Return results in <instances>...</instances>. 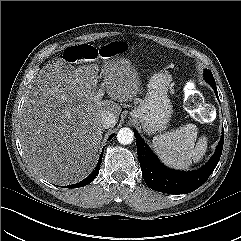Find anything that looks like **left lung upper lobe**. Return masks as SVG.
<instances>
[{
  "label": "left lung upper lobe",
  "instance_id": "obj_1",
  "mask_svg": "<svg viewBox=\"0 0 241 241\" xmlns=\"http://www.w3.org/2000/svg\"><path fill=\"white\" fill-rule=\"evenodd\" d=\"M204 77H205V80L208 82V84H210V83H214L215 84L214 77H213V75H212L210 70L209 71L207 69L205 70Z\"/></svg>",
  "mask_w": 241,
  "mask_h": 241
}]
</instances>
